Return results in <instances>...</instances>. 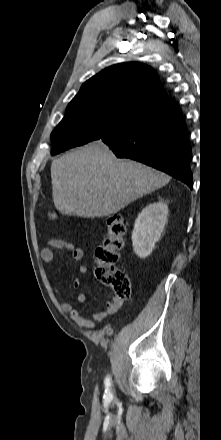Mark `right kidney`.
I'll use <instances>...</instances> for the list:
<instances>
[{"mask_svg": "<svg viewBox=\"0 0 221 440\" xmlns=\"http://www.w3.org/2000/svg\"><path fill=\"white\" fill-rule=\"evenodd\" d=\"M167 216L168 206L162 202L146 206L138 215L132 233L133 248L138 257L143 259L150 255L161 237Z\"/></svg>", "mask_w": 221, "mask_h": 440, "instance_id": "obj_1", "label": "right kidney"}]
</instances>
